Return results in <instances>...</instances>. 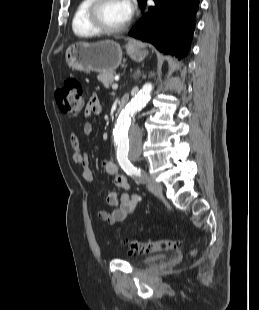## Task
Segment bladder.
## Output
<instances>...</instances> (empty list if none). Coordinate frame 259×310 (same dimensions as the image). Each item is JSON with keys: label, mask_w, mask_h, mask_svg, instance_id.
I'll return each mask as SVG.
<instances>
[{"label": "bladder", "mask_w": 259, "mask_h": 310, "mask_svg": "<svg viewBox=\"0 0 259 310\" xmlns=\"http://www.w3.org/2000/svg\"><path fill=\"white\" fill-rule=\"evenodd\" d=\"M166 256H167L166 254L152 255L140 260L139 263L141 264L154 263L166 258Z\"/></svg>", "instance_id": "1"}]
</instances>
